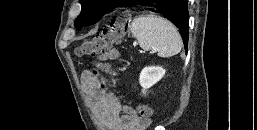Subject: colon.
I'll return each mask as SVG.
<instances>
[{
	"instance_id": "obj_1",
	"label": "colon",
	"mask_w": 257,
	"mask_h": 130,
	"mask_svg": "<svg viewBox=\"0 0 257 130\" xmlns=\"http://www.w3.org/2000/svg\"><path fill=\"white\" fill-rule=\"evenodd\" d=\"M125 32V19L124 18H114L111 20L110 24L95 37L85 40L76 49V54L78 56H93L111 44L119 41ZM92 74H97V70L93 68L91 70ZM104 89L105 84H101ZM137 111L142 119L150 120L153 115V110L147 106L140 104L137 106Z\"/></svg>"
}]
</instances>
